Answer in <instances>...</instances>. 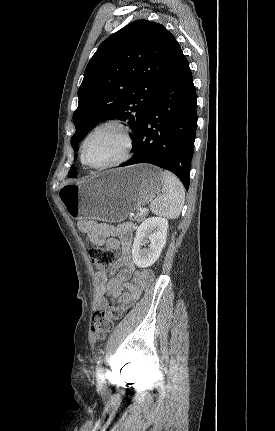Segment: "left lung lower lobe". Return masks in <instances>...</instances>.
Returning a JSON list of instances; mask_svg holds the SVG:
<instances>
[{
    "label": "left lung lower lobe",
    "mask_w": 275,
    "mask_h": 431,
    "mask_svg": "<svg viewBox=\"0 0 275 431\" xmlns=\"http://www.w3.org/2000/svg\"><path fill=\"white\" fill-rule=\"evenodd\" d=\"M196 108L193 77L181 50L132 143L134 155L120 167L137 163L159 166L177 175L188 190Z\"/></svg>",
    "instance_id": "obj_1"
}]
</instances>
